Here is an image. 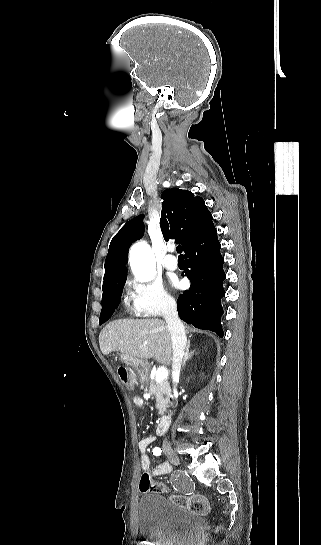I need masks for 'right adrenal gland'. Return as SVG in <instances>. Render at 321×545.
<instances>
[{"instance_id": "obj_1", "label": "right adrenal gland", "mask_w": 321, "mask_h": 545, "mask_svg": "<svg viewBox=\"0 0 321 545\" xmlns=\"http://www.w3.org/2000/svg\"><path fill=\"white\" fill-rule=\"evenodd\" d=\"M190 343H191V339H189V341H187V347L185 349V355H184L182 367H185L187 359H191L192 355H194V353H195V351H192V353H190V351H189Z\"/></svg>"}]
</instances>
